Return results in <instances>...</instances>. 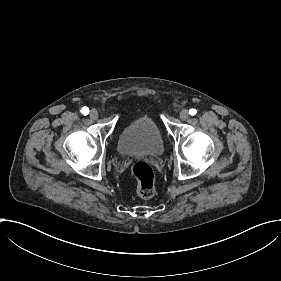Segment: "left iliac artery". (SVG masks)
<instances>
[{"label": "left iliac artery", "instance_id": "obj_1", "mask_svg": "<svg viewBox=\"0 0 281 281\" xmlns=\"http://www.w3.org/2000/svg\"><path fill=\"white\" fill-rule=\"evenodd\" d=\"M196 113H197L196 109H190L189 110V114L192 115V116H194Z\"/></svg>", "mask_w": 281, "mask_h": 281}]
</instances>
